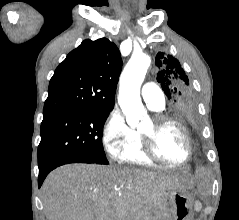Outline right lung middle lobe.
<instances>
[{
	"label": "right lung middle lobe",
	"mask_w": 239,
	"mask_h": 220,
	"mask_svg": "<svg viewBox=\"0 0 239 220\" xmlns=\"http://www.w3.org/2000/svg\"><path fill=\"white\" fill-rule=\"evenodd\" d=\"M111 110L63 111L44 114L38 166L61 159L108 164L103 145L104 123Z\"/></svg>",
	"instance_id": "obj_1"
}]
</instances>
